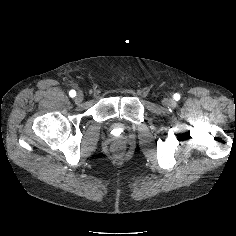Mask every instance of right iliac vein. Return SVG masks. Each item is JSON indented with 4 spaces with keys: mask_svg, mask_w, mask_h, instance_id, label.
Instances as JSON below:
<instances>
[{
    "mask_svg": "<svg viewBox=\"0 0 236 236\" xmlns=\"http://www.w3.org/2000/svg\"><path fill=\"white\" fill-rule=\"evenodd\" d=\"M83 99H84L83 93L82 92H78L76 97H75V102L80 103V102L83 101Z\"/></svg>",
    "mask_w": 236,
    "mask_h": 236,
    "instance_id": "1",
    "label": "right iliac vein"
}]
</instances>
